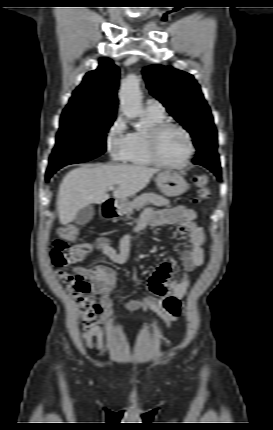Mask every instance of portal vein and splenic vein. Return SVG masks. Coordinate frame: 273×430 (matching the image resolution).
Wrapping results in <instances>:
<instances>
[{
	"label": "portal vein and splenic vein",
	"instance_id": "1",
	"mask_svg": "<svg viewBox=\"0 0 273 430\" xmlns=\"http://www.w3.org/2000/svg\"><path fill=\"white\" fill-rule=\"evenodd\" d=\"M109 190H114V187L113 186L109 187Z\"/></svg>",
	"mask_w": 273,
	"mask_h": 430
}]
</instances>
